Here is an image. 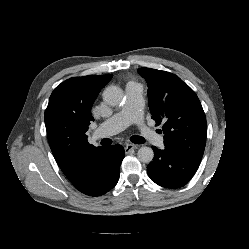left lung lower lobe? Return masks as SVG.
I'll return each mask as SVG.
<instances>
[{"instance_id":"0a47b994","label":"left lung lower lobe","mask_w":249,"mask_h":249,"mask_svg":"<svg viewBox=\"0 0 249 249\" xmlns=\"http://www.w3.org/2000/svg\"><path fill=\"white\" fill-rule=\"evenodd\" d=\"M154 160L148 165L149 177L158 185L166 188H180L187 184L195 174L200 161L188 155L165 146L158 149L155 146Z\"/></svg>"}]
</instances>
